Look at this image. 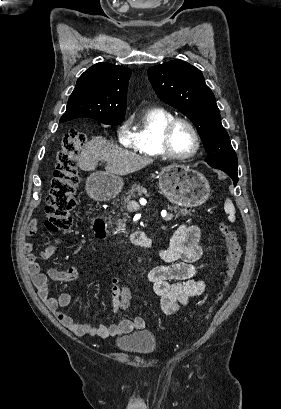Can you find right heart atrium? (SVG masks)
Returning <instances> with one entry per match:
<instances>
[{"instance_id": "1", "label": "right heart atrium", "mask_w": 281, "mask_h": 409, "mask_svg": "<svg viewBox=\"0 0 281 409\" xmlns=\"http://www.w3.org/2000/svg\"><path fill=\"white\" fill-rule=\"evenodd\" d=\"M116 135H117V139L118 141L127 146L129 141H130V137H131V132L129 130V119L122 122L116 129Z\"/></svg>"}]
</instances>
